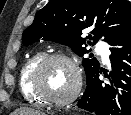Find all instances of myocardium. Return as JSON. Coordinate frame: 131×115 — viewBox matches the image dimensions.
Wrapping results in <instances>:
<instances>
[{"instance_id":"obj_1","label":"myocardium","mask_w":131,"mask_h":115,"mask_svg":"<svg viewBox=\"0 0 131 115\" xmlns=\"http://www.w3.org/2000/svg\"><path fill=\"white\" fill-rule=\"evenodd\" d=\"M55 61H62L69 64L75 74V85L71 93L65 98H53L48 93L44 92L40 86V77L45 67ZM31 89L44 103L54 107H63L72 103L80 94L82 88V74L78 64L70 56L65 54H49L42 57L32 70Z\"/></svg>"}]
</instances>
